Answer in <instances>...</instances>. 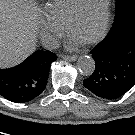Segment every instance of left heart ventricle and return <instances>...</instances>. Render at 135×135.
I'll list each match as a JSON object with an SVG mask.
<instances>
[{"mask_svg": "<svg viewBox=\"0 0 135 135\" xmlns=\"http://www.w3.org/2000/svg\"><path fill=\"white\" fill-rule=\"evenodd\" d=\"M106 0H87L82 16L73 23L70 37L79 43L93 38L101 29Z\"/></svg>", "mask_w": 135, "mask_h": 135, "instance_id": "left-heart-ventricle-1", "label": "left heart ventricle"}]
</instances>
